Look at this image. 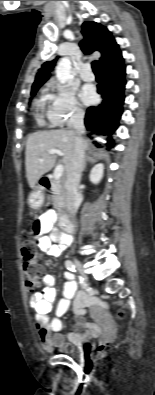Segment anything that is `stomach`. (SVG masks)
<instances>
[{"instance_id": "1", "label": "stomach", "mask_w": 155, "mask_h": 395, "mask_svg": "<svg viewBox=\"0 0 155 395\" xmlns=\"http://www.w3.org/2000/svg\"><path fill=\"white\" fill-rule=\"evenodd\" d=\"M44 202V194L41 191L40 187L37 186L34 188L33 192L30 194L29 203L33 209H38L42 206Z\"/></svg>"}]
</instances>
